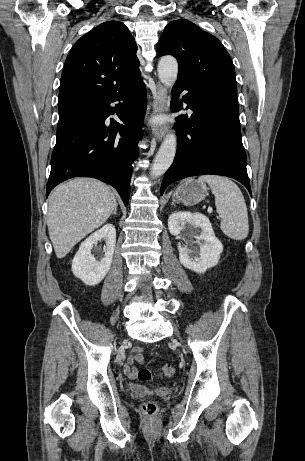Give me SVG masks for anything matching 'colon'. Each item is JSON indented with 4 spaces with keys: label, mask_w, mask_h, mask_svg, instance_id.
<instances>
[{
    "label": "colon",
    "mask_w": 305,
    "mask_h": 461,
    "mask_svg": "<svg viewBox=\"0 0 305 461\" xmlns=\"http://www.w3.org/2000/svg\"><path fill=\"white\" fill-rule=\"evenodd\" d=\"M164 377H171L175 374V367L172 364H166L161 369ZM137 378L141 382H148L152 379V372L147 368H141L137 372ZM142 411L148 416H154L157 413V405L153 401H146L141 406Z\"/></svg>",
    "instance_id": "obj_1"
}]
</instances>
